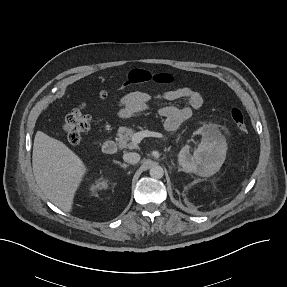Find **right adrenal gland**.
<instances>
[{"mask_svg":"<svg viewBox=\"0 0 287 287\" xmlns=\"http://www.w3.org/2000/svg\"><path fill=\"white\" fill-rule=\"evenodd\" d=\"M121 167H123V168H127L129 165H127V164H122V163H120V162H117Z\"/></svg>","mask_w":287,"mask_h":287,"instance_id":"right-adrenal-gland-1","label":"right adrenal gland"}]
</instances>
